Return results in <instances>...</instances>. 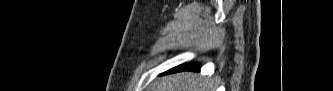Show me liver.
Returning a JSON list of instances; mask_svg holds the SVG:
<instances>
[{
	"label": "liver",
	"instance_id": "6515ba94",
	"mask_svg": "<svg viewBox=\"0 0 333 91\" xmlns=\"http://www.w3.org/2000/svg\"><path fill=\"white\" fill-rule=\"evenodd\" d=\"M155 91H215L211 80L190 72L161 78Z\"/></svg>",
	"mask_w": 333,
	"mask_h": 91
}]
</instances>
